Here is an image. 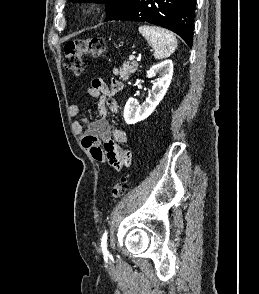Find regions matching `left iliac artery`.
<instances>
[{
  "label": "left iliac artery",
  "instance_id": "1",
  "mask_svg": "<svg viewBox=\"0 0 259 294\" xmlns=\"http://www.w3.org/2000/svg\"><path fill=\"white\" fill-rule=\"evenodd\" d=\"M107 235H108V232L105 231L103 233L102 238H101V249L103 251V254H108V250H107Z\"/></svg>",
  "mask_w": 259,
  "mask_h": 294
}]
</instances>
